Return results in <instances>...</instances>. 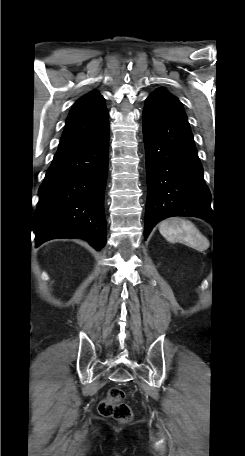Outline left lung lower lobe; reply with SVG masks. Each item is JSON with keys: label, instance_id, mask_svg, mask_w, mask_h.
<instances>
[{"label": "left lung lower lobe", "instance_id": "0a47b994", "mask_svg": "<svg viewBox=\"0 0 245 456\" xmlns=\"http://www.w3.org/2000/svg\"><path fill=\"white\" fill-rule=\"evenodd\" d=\"M142 118L148 186L144 239L168 217L209 221L211 194L182 106L148 97Z\"/></svg>", "mask_w": 245, "mask_h": 456}]
</instances>
